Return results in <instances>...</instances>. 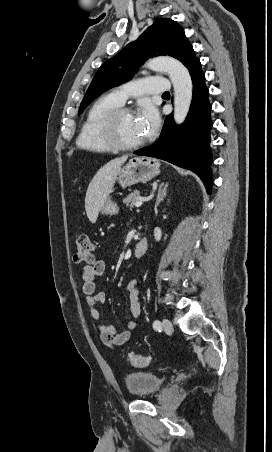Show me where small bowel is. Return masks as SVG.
Returning <instances> with one entry per match:
<instances>
[{"instance_id": "obj_1", "label": "small bowel", "mask_w": 272, "mask_h": 452, "mask_svg": "<svg viewBox=\"0 0 272 452\" xmlns=\"http://www.w3.org/2000/svg\"><path fill=\"white\" fill-rule=\"evenodd\" d=\"M106 271V262L104 260H95L91 264L83 266L81 272L82 291L86 296V305L92 318L97 321L96 328L101 341L109 347H115L125 344L131 334L138 328V320L141 314L139 302L140 290L136 280H131L126 284L125 293L128 299L130 319L127 327L118 332L112 325L100 322V313L97 305L104 303L106 295L97 291L96 282Z\"/></svg>"}]
</instances>
